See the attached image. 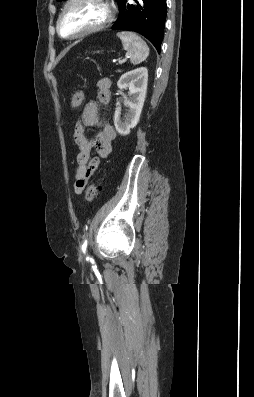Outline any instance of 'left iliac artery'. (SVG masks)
<instances>
[{"mask_svg":"<svg viewBox=\"0 0 254 397\" xmlns=\"http://www.w3.org/2000/svg\"><path fill=\"white\" fill-rule=\"evenodd\" d=\"M86 248H87V240H85V242L82 245V251L85 253L86 252ZM88 259V258H87Z\"/></svg>","mask_w":254,"mask_h":397,"instance_id":"obj_1","label":"left iliac artery"}]
</instances>
